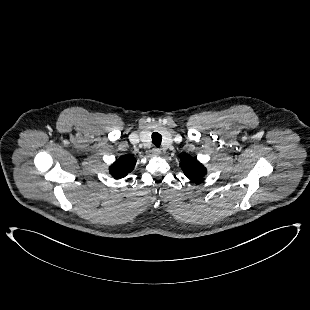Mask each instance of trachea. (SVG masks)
<instances>
[{"label": "trachea", "instance_id": "1", "mask_svg": "<svg viewBox=\"0 0 310 310\" xmlns=\"http://www.w3.org/2000/svg\"><path fill=\"white\" fill-rule=\"evenodd\" d=\"M162 136L158 132L152 134V142L155 146L159 147L161 145Z\"/></svg>", "mask_w": 310, "mask_h": 310}]
</instances>
